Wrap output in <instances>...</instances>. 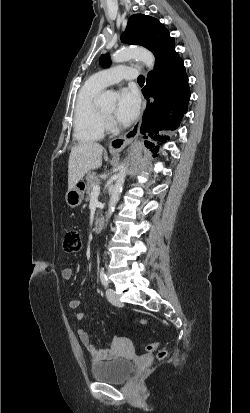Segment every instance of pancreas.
Wrapping results in <instances>:
<instances>
[{
    "mask_svg": "<svg viewBox=\"0 0 250 413\" xmlns=\"http://www.w3.org/2000/svg\"><path fill=\"white\" fill-rule=\"evenodd\" d=\"M100 183V179L98 178L95 172H88L86 175V200L88 201L92 195L93 187Z\"/></svg>",
    "mask_w": 250,
    "mask_h": 413,
    "instance_id": "1",
    "label": "pancreas"
}]
</instances>
